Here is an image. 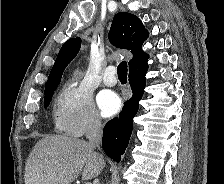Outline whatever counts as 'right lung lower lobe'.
<instances>
[{
  "label": "right lung lower lobe",
  "instance_id": "right-lung-lower-lobe-1",
  "mask_svg": "<svg viewBox=\"0 0 224 184\" xmlns=\"http://www.w3.org/2000/svg\"><path fill=\"white\" fill-rule=\"evenodd\" d=\"M148 66L129 72V83L133 91L132 97L126 101L123 111L107 122L103 129L102 147L105 153L119 162L124 153L132 133L133 118L138 112L139 101L145 88V74Z\"/></svg>",
  "mask_w": 224,
  "mask_h": 184
}]
</instances>
